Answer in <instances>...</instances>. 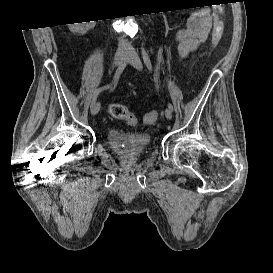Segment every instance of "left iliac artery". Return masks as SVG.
<instances>
[{
	"mask_svg": "<svg viewBox=\"0 0 273 273\" xmlns=\"http://www.w3.org/2000/svg\"><path fill=\"white\" fill-rule=\"evenodd\" d=\"M142 57L146 67L149 69V71H152V64L149 55L144 48H142ZM168 108L171 110V112H173V106L171 103L168 104Z\"/></svg>",
	"mask_w": 273,
	"mask_h": 273,
	"instance_id": "left-iliac-artery-1",
	"label": "left iliac artery"
}]
</instances>
